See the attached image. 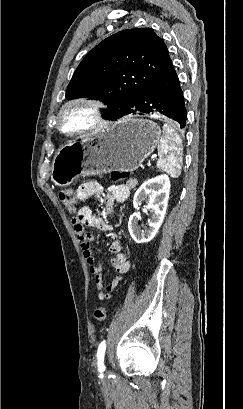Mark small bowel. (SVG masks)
Wrapping results in <instances>:
<instances>
[{
    "mask_svg": "<svg viewBox=\"0 0 243 409\" xmlns=\"http://www.w3.org/2000/svg\"><path fill=\"white\" fill-rule=\"evenodd\" d=\"M136 185V179H129L125 184L110 187L107 190V195L103 198L106 212L109 214L113 213L115 209L114 202L125 201L129 196L130 190ZM102 193V186L95 181L86 182L77 190V196L81 200H86L90 197L100 198ZM71 222L80 242L89 271L94 276L99 299H110L112 291L121 282L123 274L129 269L128 257L123 252V247L119 240H115L111 243L109 251L114 255L111 264L116 274L113 276L111 282L104 286L102 263L96 262L95 256L90 247V242L94 239V236L91 232L87 231L85 227H91L102 231H114L115 228L112 225L107 224L100 215L93 212L89 206H83L78 213L72 217Z\"/></svg>",
    "mask_w": 243,
    "mask_h": 409,
    "instance_id": "c3829d8e",
    "label": "small bowel"
}]
</instances>
